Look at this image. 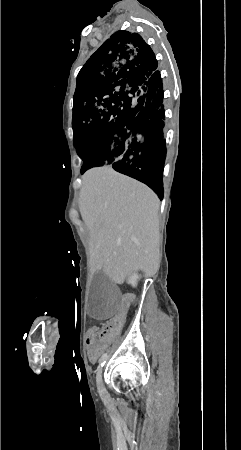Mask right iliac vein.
Segmentation results:
<instances>
[{"label": "right iliac vein", "instance_id": "63e3f726", "mask_svg": "<svg viewBox=\"0 0 241 450\" xmlns=\"http://www.w3.org/2000/svg\"><path fill=\"white\" fill-rule=\"evenodd\" d=\"M102 371L99 370L97 373V379H96V384H97V388L100 394H106L105 392V388H104V384L102 381V376H101Z\"/></svg>", "mask_w": 241, "mask_h": 450}]
</instances>
